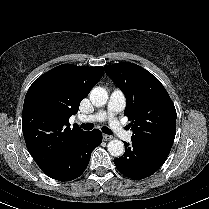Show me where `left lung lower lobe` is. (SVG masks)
I'll return each instance as SVG.
<instances>
[{"label": "left lung lower lobe", "instance_id": "obj_1", "mask_svg": "<svg viewBox=\"0 0 209 209\" xmlns=\"http://www.w3.org/2000/svg\"><path fill=\"white\" fill-rule=\"evenodd\" d=\"M131 140V144L124 142L125 154L115 159L114 163L120 173L135 180L144 179L155 173L163 165L171 150Z\"/></svg>", "mask_w": 209, "mask_h": 209}]
</instances>
